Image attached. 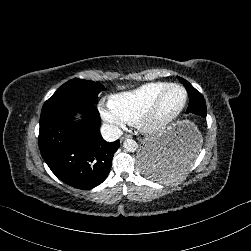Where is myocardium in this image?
<instances>
[{"mask_svg":"<svg viewBox=\"0 0 251 251\" xmlns=\"http://www.w3.org/2000/svg\"><path fill=\"white\" fill-rule=\"evenodd\" d=\"M171 88H177L185 93V101L180 109L179 113L172 119L168 121H159L156 118V113L164 100L167 92ZM189 104V92L188 90L177 83H168L165 88H163L157 95L155 100L149 105L146 112L141 116V121L143 127L150 133H164L176 126L181 119L184 117Z\"/></svg>","mask_w":251,"mask_h":251,"instance_id":"obj_1","label":"myocardium"}]
</instances>
